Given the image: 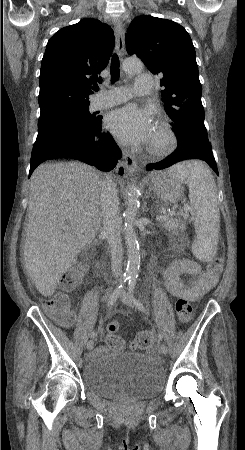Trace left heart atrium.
<instances>
[{"label": "left heart atrium", "instance_id": "1", "mask_svg": "<svg viewBox=\"0 0 245 450\" xmlns=\"http://www.w3.org/2000/svg\"><path fill=\"white\" fill-rule=\"evenodd\" d=\"M107 127L121 142L137 145L153 137L154 122L148 109L129 104L111 111L106 118Z\"/></svg>", "mask_w": 245, "mask_h": 450}]
</instances>
